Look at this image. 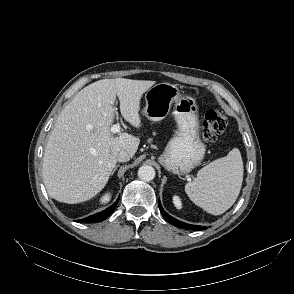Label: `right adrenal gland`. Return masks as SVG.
Masks as SVG:
<instances>
[{"label": "right adrenal gland", "instance_id": "1", "mask_svg": "<svg viewBox=\"0 0 294 294\" xmlns=\"http://www.w3.org/2000/svg\"><path fill=\"white\" fill-rule=\"evenodd\" d=\"M119 165H116L111 173V176H113V174L115 173V171L118 169Z\"/></svg>", "mask_w": 294, "mask_h": 294}]
</instances>
